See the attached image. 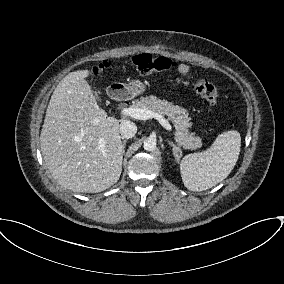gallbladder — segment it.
<instances>
[{
	"label": "gallbladder",
	"mask_w": 284,
	"mask_h": 284,
	"mask_svg": "<svg viewBox=\"0 0 284 284\" xmlns=\"http://www.w3.org/2000/svg\"><path fill=\"white\" fill-rule=\"evenodd\" d=\"M95 95L97 96V98L99 99V101H101L100 94H99L98 91H95Z\"/></svg>",
	"instance_id": "gallbladder-1"
}]
</instances>
